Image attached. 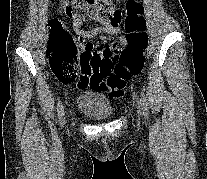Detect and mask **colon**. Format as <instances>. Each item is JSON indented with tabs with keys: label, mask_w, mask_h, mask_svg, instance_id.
Here are the masks:
<instances>
[{
	"label": "colon",
	"mask_w": 207,
	"mask_h": 179,
	"mask_svg": "<svg viewBox=\"0 0 207 179\" xmlns=\"http://www.w3.org/2000/svg\"><path fill=\"white\" fill-rule=\"evenodd\" d=\"M69 17L110 16L117 0H57ZM145 8L141 0H128L124 17V45L108 35L102 50H94L90 42L77 40L62 23H50L47 54L51 70L60 82L90 84L109 91L114 98L125 96L126 83L144 68V50L149 37L146 32Z\"/></svg>",
	"instance_id": "colon-1"
}]
</instances>
